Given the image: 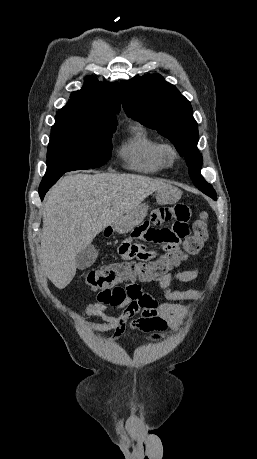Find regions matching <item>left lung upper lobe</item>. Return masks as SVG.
<instances>
[{
	"label": "left lung upper lobe",
	"mask_w": 257,
	"mask_h": 459,
	"mask_svg": "<svg viewBox=\"0 0 257 459\" xmlns=\"http://www.w3.org/2000/svg\"><path fill=\"white\" fill-rule=\"evenodd\" d=\"M120 97L126 114L168 138L186 160L195 186L216 200L213 187L201 175L198 127L190 102L159 74H149L120 83Z\"/></svg>",
	"instance_id": "5c2ea615"
}]
</instances>
